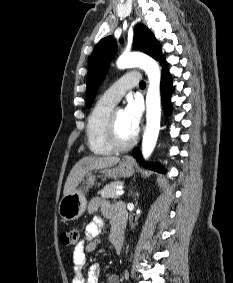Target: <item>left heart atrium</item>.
Wrapping results in <instances>:
<instances>
[{
  "instance_id": "1",
  "label": "left heart atrium",
  "mask_w": 233,
  "mask_h": 283,
  "mask_svg": "<svg viewBox=\"0 0 233 283\" xmlns=\"http://www.w3.org/2000/svg\"><path fill=\"white\" fill-rule=\"evenodd\" d=\"M123 112L130 128L137 132L143 112L140 100L138 98H129Z\"/></svg>"
}]
</instances>
